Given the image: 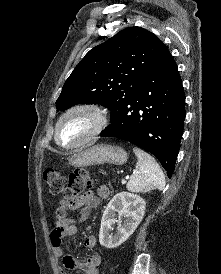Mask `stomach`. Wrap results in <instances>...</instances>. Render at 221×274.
I'll return each mask as SVG.
<instances>
[{"mask_svg":"<svg viewBox=\"0 0 221 274\" xmlns=\"http://www.w3.org/2000/svg\"><path fill=\"white\" fill-rule=\"evenodd\" d=\"M127 158L126 151L121 147L97 144L73 154L69 158V163L78 167L101 165L104 163L123 165L126 163Z\"/></svg>","mask_w":221,"mask_h":274,"instance_id":"1","label":"stomach"}]
</instances>
